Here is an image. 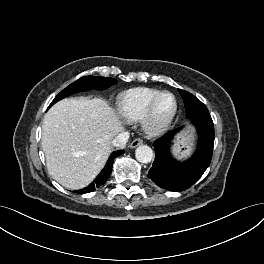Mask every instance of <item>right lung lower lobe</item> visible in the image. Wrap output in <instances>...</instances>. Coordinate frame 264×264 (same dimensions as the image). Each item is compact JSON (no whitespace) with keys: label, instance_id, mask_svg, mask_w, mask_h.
Masks as SVG:
<instances>
[{"label":"right lung lower lobe","instance_id":"obj_1","mask_svg":"<svg viewBox=\"0 0 264 264\" xmlns=\"http://www.w3.org/2000/svg\"><path fill=\"white\" fill-rule=\"evenodd\" d=\"M123 153H124V150H118V151L113 152L110 155L104 169L96 177V179H94V181L88 187L84 189L76 190V193H80V194L89 193L99 188L100 186H102L107 181V179L110 177L114 159Z\"/></svg>","mask_w":264,"mask_h":264}]
</instances>
